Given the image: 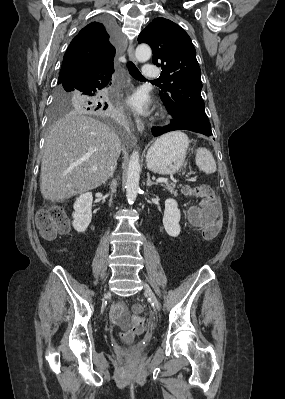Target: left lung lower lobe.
Masks as SVG:
<instances>
[{"mask_svg":"<svg viewBox=\"0 0 285 399\" xmlns=\"http://www.w3.org/2000/svg\"><path fill=\"white\" fill-rule=\"evenodd\" d=\"M175 130H189V129H186V128L179 126L172 122V124L165 126V127L152 128V134H153V136H160L164 133H167L170 131H175Z\"/></svg>","mask_w":285,"mask_h":399,"instance_id":"left-lung-lower-lobe-1","label":"left lung lower lobe"}]
</instances>
